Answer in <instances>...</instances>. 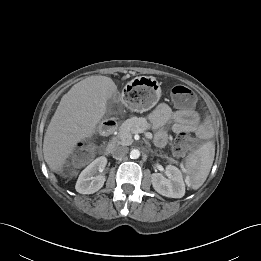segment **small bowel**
<instances>
[{"instance_id":"c3829d8e","label":"small bowel","mask_w":261,"mask_h":261,"mask_svg":"<svg viewBox=\"0 0 261 261\" xmlns=\"http://www.w3.org/2000/svg\"><path fill=\"white\" fill-rule=\"evenodd\" d=\"M149 121L154 130L155 143L164 147L168 142L166 125L175 134L193 133L202 139H208L213 134L209 121H201L198 113L193 109L174 110L168 104H159L149 115Z\"/></svg>"}]
</instances>
